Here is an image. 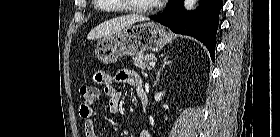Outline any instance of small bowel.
<instances>
[{
    "mask_svg": "<svg viewBox=\"0 0 280 137\" xmlns=\"http://www.w3.org/2000/svg\"><path fill=\"white\" fill-rule=\"evenodd\" d=\"M94 81L101 85L104 89V95L107 98L109 110L112 113H118L122 100V92L114 87V84H126L132 87L135 91L140 92L143 88L142 82L138 74L130 69H120L114 75L105 71L97 72L94 76ZM81 118L84 120V131L86 137H98L94 112L88 105H81L79 110ZM139 137H151L148 130H143Z\"/></svg>",
    "mask_w": 280,
    "mask_h": 137,
    "instance_id": "small-bowel-1",
    "label": "small bowel"
}]
</instances>
